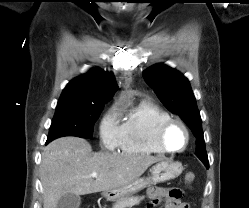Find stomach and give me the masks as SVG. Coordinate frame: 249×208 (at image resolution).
Returning a JSON list of instances; mask_svg holds the SVG:
<instances>
[{
	"mask_svg": "<svg viewBox=\"0 0 249 208\" xmlns=\"http://www.w3.org/2000/svg\"><path fill=\"white\" fill-rule=\"evenodd\" d=\"M182 171L183 167L180 162L162 160L150 169V175L148 177L139 178L126 186L104 191L103 196L109 201H115L137 193L152 184L175 179Z\"/></svg>",
	"mask_w": 249,
	"mask_h": 208,
	"instance_id": "obj_1",
	"label": "stomach"
}]
</instances>
